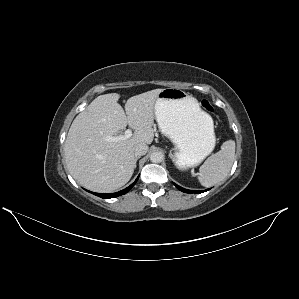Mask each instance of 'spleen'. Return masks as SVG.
Listing matches in <instances>:
<instances>
[{
	"label": "spleen",
	"instance_id": "spleen-1",
	"mask_svg": "<svg viewBox=\"0 0 299 299\" xmlns=\"http://www.w3.org/2000/svg\"><path fill=\"white\" fill-rule=\"evenodd\" d=\"M235 159V141L227 140L216 154L210 156L199 169L198 180L204 187L223 181Z\"/></svg>",
	"mask_w": 299,
	"mask_h": 299
}]
</instances>
